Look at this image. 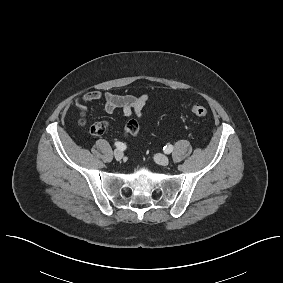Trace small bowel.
Listing matches in <instances>:
<instances>
[{
  "label": "small bowel",
  "instance_id": "obj_1",
  "mask_svg": "<svg viewBox=\"0 0 283 283\" xmlns=\"http://www.w3.org/2000/svg\"><path fill=\"white\" fill-rule=\"evenodd\" d=\"M149 98V94L133 96L91 91L79 97L76 101V105L81 116L87 115V105L93 102L101 103L107 113H113L116 109H121L123 116L130 119L124 126L123 134L125 136H137L140 132V127L138 122L131 118L133 116L137 118L142 116L143 108ZM132 123H135V125H132Z\"/></svg>",
  "mask_w": 283,
  "mask_h": 283
}]
</instances>
